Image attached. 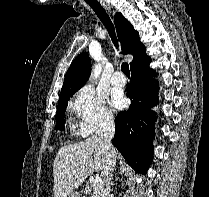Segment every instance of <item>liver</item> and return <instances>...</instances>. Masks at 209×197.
<instances>
[{"mask_svg":"<svg viewBox=\"0 0 209 197\" xmlns=\"http://www.w3.org/2000/svg\"><path fill=\"white\" fill-rule=\"evenodd\" d=\"M105 164L106 149L96 135L61 147L53 163L54 197H67L94 171H102Z\"/></svg>","mask_w":209,"mask_h":197,"instance_id":"1","label":"liver"}]
</instances>
